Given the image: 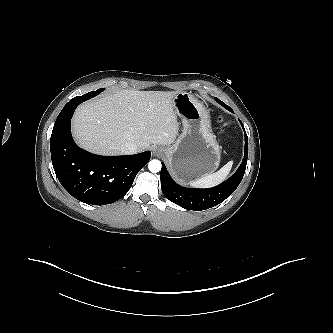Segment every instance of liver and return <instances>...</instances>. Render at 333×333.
<instances>
[{
    "instance_id": "1",
    "label": "liver",
    "mask_w": 333,
    "mask_h": 333,
    "mask_svg": "<svg viewBox=\"0 0 333 333\" xmlns=\"http://www.w3.org/2000/svg\"><path fill=\"white\" fill-rule=\"evenodd\" d=\"M177 91L119 90L80 105L72 120L76 142L84 149L104 155L120 154L125 143L139 151L150 144L174 142L178 123L173 109Z\"/></svg>"
}]
</instances>
